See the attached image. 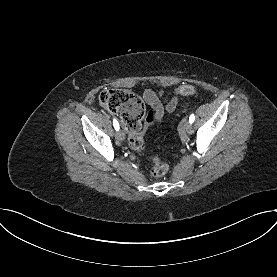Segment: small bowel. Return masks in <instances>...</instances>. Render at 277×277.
I'll use <instances>...</instances> for the list:
<instances>
[{
    "mask_svg": "<svg viewBox=\"0 0 277 277\" xmlns=\"http://www.w3.org/2000/svg\"><path fill=\"white\" fill-rule=\"evenodd\" d=\"M143 97L157 115V120L153 124H159L165 112H172L176 108L177 97L168 99L162 92H155L151 89H146L143 93ZM148 124L149 123L142 128V131L146 130Z\"/></svg>",
    "mask_w": 277,
    "mask_h": 277,
    "instance_id": "1",
    "label": "small bowel"
}]
</instances>
